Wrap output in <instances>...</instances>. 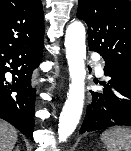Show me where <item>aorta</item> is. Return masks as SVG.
<instances>
[{
	"instance_id": "1",
	"label": "aorta",
	"mask_w": 131,
	"mask_h": 151,
	"mask_svg": "<svg viewBox=\"0 0 131 151\" xmlns=\"http://www.w3.org/2000/svg\"><path fill=\"white\" fill-rule=\"evenodd\" d=\"M66 59L70 84L67 99L59 117V142H65L75 131L83 110L85 97V28L81 22L71 23L65 35Z\"/></svg>"
}]
</instances>
